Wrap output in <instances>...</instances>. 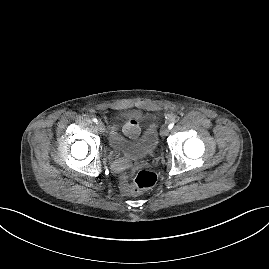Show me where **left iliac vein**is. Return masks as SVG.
<instances>
[{
	"instance_id": "1",
	"label": "left iliac vein",
	"mask_w": 269,
	"mask_h": 269,
	"mask_svg": "<svg viewBox=\"0 0 269 269\" xmlns=\"http://www.w3.org/2000/svg\"><path fill=\"white\" fill-rule=\"evenodd\" d=\"M169 129L165 126L162 127L161 131H160V135L162 137H166L168 135Z\"/></svg>"
}]
</instances>
